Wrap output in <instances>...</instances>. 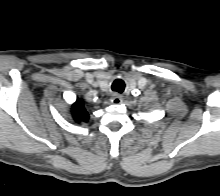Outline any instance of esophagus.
Segmentation results:
<instances>
[{
    "label": "esophagus",
    "mask_w": 220,
    "mask_h": 196,
    "mask_svg": "<svg viewBox=\"0 0 220 196\" xmlns=\"http://www.w3.org/2000/svg\"><path fill=\"white\" fill-rule=\"evenodd\" d=\"M111 102L115 105L121 104L122 103V96L117 93H114L111 97Z\"/></svg>",
    "instance_id": "esophagus-1"
}]
</instances>
